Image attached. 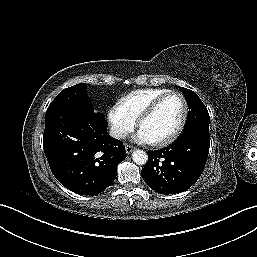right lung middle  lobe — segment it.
I'll use <instances>...</instances> for the list:
<instances>
[{
    "label": "right lung middle lobe",
    "mask_w": 257,
    "mask_h": 257,
    "mask_svg": "<svg viewBox=\"0 0 257 257\" xmlns=\"http://www.w3.org/2000/svg\"><path fill=\"white\" fill-rule=\"evenodd\" d=\"M86 88L87 85L82 83L63 89L51 102L47 110L60 106H82L93 108L91 101L86 93ZM100 115L104 116L103 114Z\"/></svg>",
    "instance_id": "obj_1"
}]
</instances>
